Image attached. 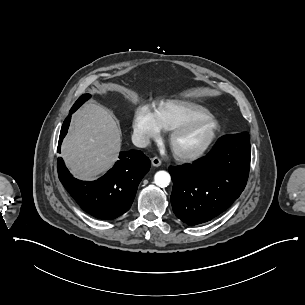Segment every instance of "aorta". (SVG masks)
Listing matches in <instances>:
<instances>
[{"instance_id": "obj_1", "label": "aorta", "mask_w": 305, "mask_h": 305, "mask_svg": "<svg viewBox=\"0 0 305 305\" xmlns=\"http://www.w3.org/2000/svg\"><path fill=\"white\" fill-rule=\"evenodd\" d=\"M154 182L159 187H167L171 182V176L166 171H158L154 176Z\"/></svg>"}]
</instances>
